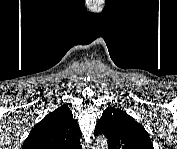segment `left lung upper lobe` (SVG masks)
<instances>
[{
    "mask_svg": "<svg viewBox=\"0 0 177 149\" xmlns=\"http://www.w3.org/2000/svg\"><path fill=\"white\" fill-rule=\"evenodd\" d=\"M95 135L108 138L109 149H153L145 128L130 115L108 107L98 120Z\"/></svg>",
    "mask_w": 177,
    "mask_h": 149,
    "instance_id": "5c2ea615",
    "label": "left lung upper lobe"
}]
</instances>
